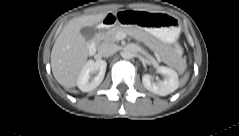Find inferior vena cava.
Instances as JSON below:
<instances>
[{"label":"inferior vena cava","instance_id":"602c4592","mask_svg":"<svg viewBox=\"0 0 239 136\" xmlns=\"http://www.w3.org/2000/svg\"><path fill=\"white\" fill-rule=\"evenodd\" d=\"M118 50V46L113 43H103L98 48V53L102 57H109Z\"/></svg>","mask_w":239,"mask_h":136}]
</instances>
